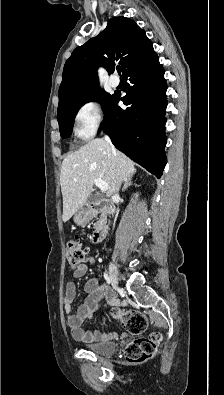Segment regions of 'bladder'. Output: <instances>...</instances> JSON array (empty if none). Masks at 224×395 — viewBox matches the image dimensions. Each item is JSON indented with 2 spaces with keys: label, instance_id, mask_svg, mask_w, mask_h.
Instances as JSON below:
<instances>
[{
  "label": "bladder",
  "instance_id": "obj_1",
  "mask_svg": "<svg viewBox=\"0 0 224 395\" xmlns=\"http://www.w3.org/2000/svg\"><path fill=\"white\" fill-rule=\"evenodd\" d=\"M116 344L112 342H91L84 345V349L97 355H110L116 351Z\"/></svg>",
  "mask_w": 224,
  "mask_h": 395
}]
</instances>
